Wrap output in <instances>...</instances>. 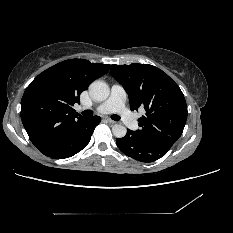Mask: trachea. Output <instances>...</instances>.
Instances as JSON below:
<instances>
[{"label": "trachea", "mask_w": 233, "mask_h": 233, "mask_svg": "<svg viewBox=\"0 0 233 233\" xmlns=\"http://www.w3.org/2000/svg\"><path fill=\"white\" fill-rule=\"evenodd\" d=\"M82 114L85 117H91L93 115V111L92 110H85L82 112ZM111 119L118 121V120H120V117L118 115L114 114V115H111Z\"/></svg>", "instance_id": "3493384b"}]
</instances>
